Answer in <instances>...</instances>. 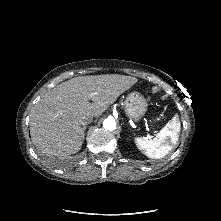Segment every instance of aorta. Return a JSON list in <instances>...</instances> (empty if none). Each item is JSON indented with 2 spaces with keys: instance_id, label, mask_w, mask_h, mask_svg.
<instances>
[{
  "instance_id": "obj_1",
  "label": "aorta",
  "mask_w": 221,
  "mask_h": 221,
  "mask_svg": "<svg viewBox=\"0 0 221 221\" xmlns=\"http://www.w3.org/2000/svg\"><path fill=\"white\" fill-rule=\"evenodd\" d=\"M103 127L106 130L113 131L116 129V122L113 118H106L103 122Z\"/></svg>"
}]
</instances>
